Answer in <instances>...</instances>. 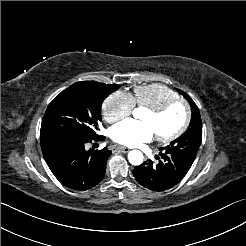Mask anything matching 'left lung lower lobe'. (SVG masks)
<instances>
[{
    "mask_svg": "<svg viewBox=\"0 0 246 246\" xmlns=\"http://www.w3.org/2000/svg\"><path fill=\"white\" fill-rule=\"evenodd\" d=\"M159 163L149 160L137 166L133 174L138 183L153 191H164L178 184L194 160L181 152H160ZM159 158V157H158Z\"/></svg>",
    "mask_w": 246,
    "mask_h": 246,
    "instance_id": "left-lung-lower-lobe-1",
    "label": "left lung lower lobe"
}]
</instances>
